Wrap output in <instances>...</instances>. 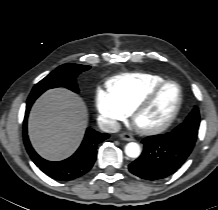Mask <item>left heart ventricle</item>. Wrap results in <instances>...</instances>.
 Segmentation results:
<instances>
[{
  "label": "left heart ventricle",
  "instance_id": "obj_1",
  "mask_svg": "<svg viewBox=\"0 0 218 210\" xmlns=\"http://www.w3.org/2000/svg\"><path fill=\"white\" fill-rule=\"evenodd\" d=\"M178 100V87L174 84L167 85L154 103L137 117V125L141 128H151L163 124L174 111Z\"/></svg>",
  "mask_w": 218,
  "mask_h": 210
}]
</instances>
